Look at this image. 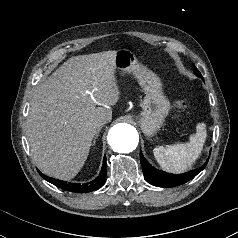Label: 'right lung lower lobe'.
Listing matches in <instances>:
<instances>
[{
  "label": "right lung lower lobe",
  "instance_id": "1",
  "mask_svg": "<svg viewBox=\"0 0 238 238\" xmlns=\"http://www.w3.org/2000/svg\"><path fill=\"white\" fill-rule=\"evenodd\" d=\"M40 175L47 180L48 182L52 183L53 185L67 190V191H71V192H76V193H86V192H91L94 191L98 188H100L106 180V157H104L103 159V166L101 169V172L99 174V176L94 179L93 181L86 183V184H75V183H67L65 181H60V180H55L54 178L51 177H47L45 175H43L41 172H39Z\"/></svg>",
  "mask_w": 238,
  "mask_h": 238
}]
</instances>
